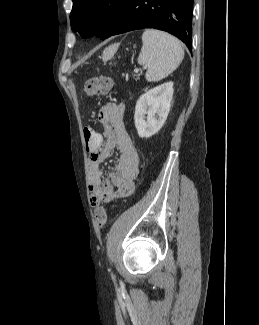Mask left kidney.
I'll list each match as a JSON object with an SVG mask.
<instances>
[{
    "instance_id": "obj_1",
    "label": "left kidney",
    "mask_w": 259,
    "mask_h": 325,
    "mask_svg": "<svg viewBox=\"0 0 259 325\" xmlns=\"http://www.w3.org/2000/svg\"><path fill=\"white\" fill-rule=\"evenodd\" d=\"M172 96L173 83L168 82L150 89L138 99L134 119L141 138H149L162 128L170 111Z\"/></svg>"
}]
</instances>
